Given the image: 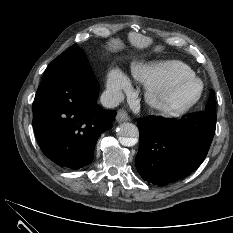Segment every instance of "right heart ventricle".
<instances>
[{"mask_svg":"<svg viewBox=\"0 0 233 233\" xmlns=\"http://www.w3.org/2000/svg\"><path fill=\"white\" fill-rule=\"evenodd\" d=\"M133 77L146 87L168 83L182 76L194 75L185 63L176 60L139 63L132 68Z\"/></svg>","mask_w":233,"mask_h":233,"instance_id":"right-heart-ventricle-1","label":"right heart ventricle"}]
</instances>
